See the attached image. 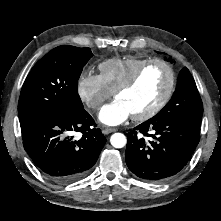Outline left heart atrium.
<instances>
[{
  "mask_svg": "<svg viewBox=\"0 0 221 221\" xmlns=\"http://www.w3.org/2000/svg\"><path fill=\"white\" fill-rule=\"evenodd\" d=\"M131 115L128 106L123 101L116 99L101 109L99 120L105 125L114 126L124 122Z\"/></svg>",
  "mask_w": 221,
  "mask_h": 221,
  "instance_id": "1",
  "label": "left heart atrium"
}]
</instances>
